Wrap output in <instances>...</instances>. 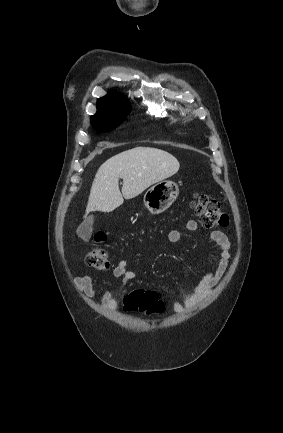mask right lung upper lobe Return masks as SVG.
<instances>
[{
	"label": "right lung upper lobe",
	"instance_id": "cb5924a9",
	"mask_svg": "<svg viewBox=\"0 0 283 433\" xmlns=\"http://www.w3.org/2000/svg\"><path fill=\"white\" fill-rule=\"evenodd\" d=\"M119 111H130L129 102L121 94L111 91L106 96L98 99L97 113L95 115Z\"/></svg>",
	"mask_w": 283,
	"mask_h": 433
}]
</instances>
